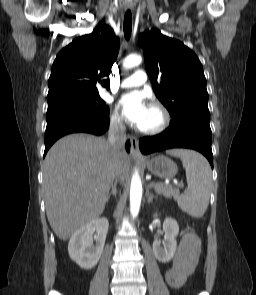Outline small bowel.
<instances>
[{"mask_svg":"<svg viewBox=\"0 0 256 295\" xmlns=\"http://www.w3.org/2000/svg\"><path fill=\"white\" fill-rule=\"evenodd\" d=\"M200 243L197 235L186 229L173 257L172 266L166 271V279L177 288L193 273L199 257Z\"/></svg>","mask_w":256,"mask_h":295,"instance_id":"obj_1","label":"small bowel"}]
</instances>
